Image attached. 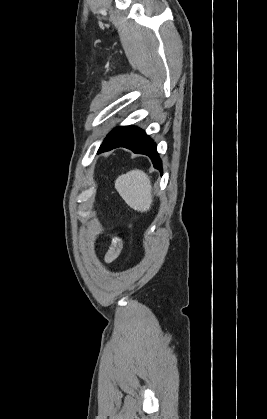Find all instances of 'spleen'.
Listing matches in <instances>:
<instances>
[{
    "mask_svg": "<svg viewBox=\"0 0 267 419\" xmlns=\"http://www.w3.org/2000/svg\"><path fill=\"white\" fill-rule=\"evenodd\" d=\"M115 188L123 200L134 210L146 212L152 204L150 178L142 170H131L119 176Z\"/></svg>",
    "mask_w": 267,
    "mask_h": 419,
    "instance_id": "spleen-1",
    "label": "spleen"
}]
</instances>
